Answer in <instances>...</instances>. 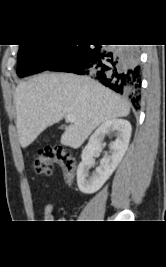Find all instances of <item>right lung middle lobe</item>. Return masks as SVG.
<instances>
[{
  "mask_svg": "<svg viewBox=\"0 0 166 267\" xmlns=\"http://www.w3.org/2000/svg\"><path fill=\"white\" fill-rule=\"evenodd\" d=\"M17 74L25 77L47 70L68 45H19Z\"/></svg>",
  "mask_w": 166,
  "mask_h": 267,
  "instance_id": "1",
  "label": "right lung middle lobe"
}]
</instances>
